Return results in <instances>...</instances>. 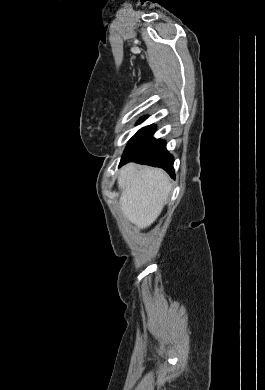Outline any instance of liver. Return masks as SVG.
<instances>
[{
  "mask_svg": "<svg viewBox=\"0 0 265 390\" xmlns=\"http://www.w3.org/2000/svg\"><path fill=\"white\" fill-rule=\"evenodd\" d=\"M120 208L138 228L149 227L160 215L171 190L168 175L158 168L130 163L118 177Z\"/></svg>",
  "mask_w": 265,
  "mask_h": 390,
  "instance_id": "6515ba94",
  "label": "liver"
}]
</instances>
